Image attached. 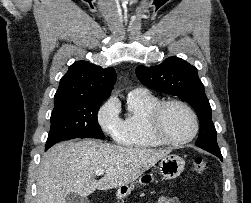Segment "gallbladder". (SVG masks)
Listing matches in <instances>:
<instances>
[{
  "mask_svg": "<svg viewBox=\"0 0 251 203\" xmlns=\"http://www.w3.org/2000/svg\"><path fill=\"white\" fill-rule=\"evenodd\" d=\"M65 203H89V199L76 193H69L65 198Z\"/></svg>",
  "mask_w": 251,
  "mask_h": 203,
  "instance_id": "bac80fb5",
  "label": "gallbladder"
}]
</instances>
